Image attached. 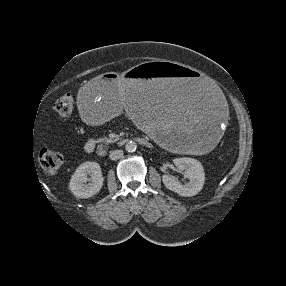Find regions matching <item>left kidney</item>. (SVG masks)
I'll use <instances>...</instances> for the list:
<instances>
[{
    "instance_id": "1",
    "label": "left kidney",
    "mask_w": 286,
    "mask_h": 286,
    "mask_svg": "<svg viewBox=\"0 0 286 286\" xmlns=\"http://www.w3.org/2000/svg\"><path fill=\"white\" fill-rule=\"evenodd\" d=\"M173 163L180 170H185L184 176L190 180L182 185L177 179L170 175H163L162 181L165 187L183 197L196 195L201 191L205 181V173L202 164L196 159L189 157L175 158Z\"/></svg>"
}]
</instances>
